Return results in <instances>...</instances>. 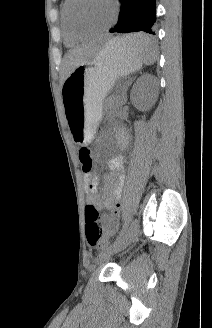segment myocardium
Returning <instances> with one entry per match:
<instances>
[{"mask_svg":"<svg viewBox=\"0 0 212 328\" xmlns=\"http://www.w3.org/2000/svg\"><path fill=\"white\" fill-rule=\"evenodd\" d=\"M113 6V17L111 19V21L103 26V27H99V28H88V27H83L78 25L73 17H72V8L74 6V4L76 2H78V0H68V4L66 7V19L69 25V28L71 29V31L75 34H96V33H101L104 31H107L108 29H110L112 27V25L115 23L117 17H118V13H119V8H118V4L116 0H110Z\"/></svg>","mask_w":212,"mask_h":328,"instance_id":"f54148a6","label":"myocardium"}]
</instances>
